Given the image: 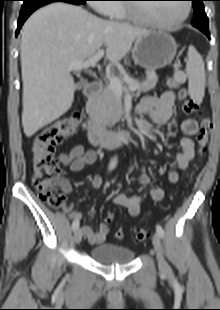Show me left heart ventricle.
Returning a JSON list of instances; mask_svg holds the SVG:
<instances>
[{
	"instance_id": "obj_1",
	"label": "left heart ventricle",
	"mask_w": 220,
	"mask_h": 310,
	"mask_svg": "<svg viewBox=\"0 0 220 310\" xmlns=\"http://www.w3.org/2000/svg\"><path fill=\"white\" fill-rule=\"evenodd\" d=\"M139 13L161 22H172L184 13V3H160L138 7Z\"/></svg>"
}]
</instances>
